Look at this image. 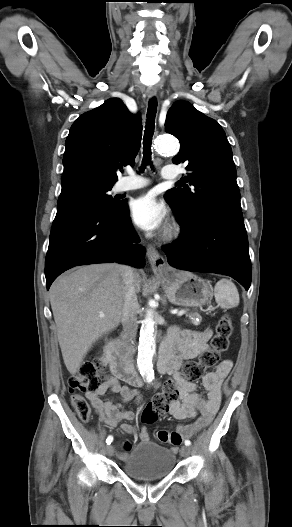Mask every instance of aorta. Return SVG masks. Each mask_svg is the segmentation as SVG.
<instances>
[{
    "label": "aorta",
    "mask_w": 292,
    "mask_h": 527,
    "mask_svg": "<svg viewBox=\"0 0 292 527\" xmlns=\"http://www.w3.org/2000/svg\"><path fill=\"white\" fill-rule=\"evenodd\" d=\"M155 148L163 154L178 152L179 144L173 136H160L155 141ZM152 302H149L151 305ZM156 354V324L151 308L147 310L140 330L137 367L142 377L148 382L154 379L153 360Z\"/></svg>",
    "instance_id": "obj_1"
}]
</instances>
